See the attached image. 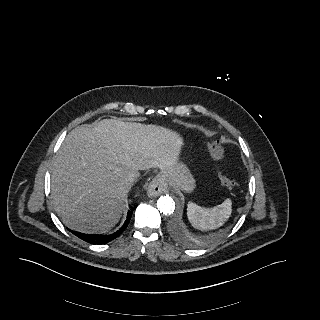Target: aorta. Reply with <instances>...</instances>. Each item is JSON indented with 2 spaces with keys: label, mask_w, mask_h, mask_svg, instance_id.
I'll use <instances>...</instances> for the list:
<instances>
[{
  "label": "aorta",
  "mask_w": 320,
  "mask_h": 320,
  "mask_svg": "<svg viewBox=\"0 0 320 320\" xmlns=\"http://www.w3.org/2000/svg\"><path fill=\"white\" fill-rule=\"evenodd\" d=\"M157 208L164 215H168V214L173 213L175 210L174 198L169 195L161 196L157 200Z\"/></svg>",
  "instance_id": "aorta-1"
}]
</instances>
